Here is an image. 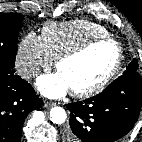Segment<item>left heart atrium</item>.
Here are the masks:
<instances>
[{"label": "left heart atrium", "instance_id": "1", "mask_svg": "<svg viewBox=\"0 0 142 142\" xmlns=\"http://www.w3.org/2000/svg\"><path fill=\"white\" fill-rule=\"evenodd\" d=\"M39 91L50 98H58L70 91V86L59 72L41 76L37 81Z\"/></svg>", "mask_w": 142, "mask_h": 142}]
</instances>
